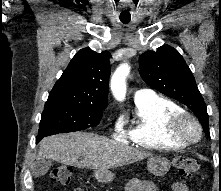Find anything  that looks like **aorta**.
Listing matches in <instances>:
<instances>
[{"label":"aorta","instance_id":"aorta-1","mask_svg":"<svg viewBox=\"0 0 221 191\" xmlns=\"http://www.w3.org/2000/svg\"><path fill=\"white\" fill-rule=\"evenodd\" d=\"M129 72V65L127 63H123L116 69L111 78L110 88L112 94L119 101H123L125 99L127 90L126 79Z\"/></svg>","mask_w":221,"mask_h":191}]
</instances>
